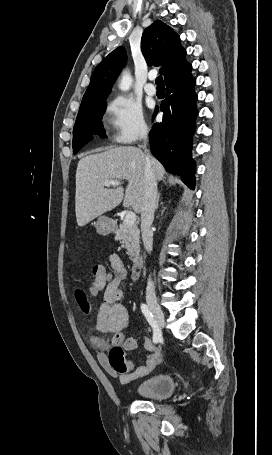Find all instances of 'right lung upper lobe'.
<instances>
[{"label":"right lung upper lobe","mask_w":272,"mask_h":455,"mask_svg":"<svg viewBox=\"0 0 272 455\" xmlns=\"http://www.w3.org/2000/svg\"><path fill=\"white\" fill-rule=\"evenodd\" d=\"M141 50L149 66H163L160 73L164 75L165 84L181 78L192 69L185 59L186 51L180 44L179 36L160 20L144 30ZM125 61L123 47H118L104 58L92 73L79 112L105 102Z\"/></svg>","instance_id":"1"}]
</instances>
